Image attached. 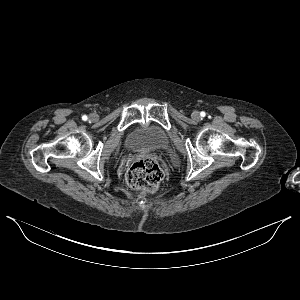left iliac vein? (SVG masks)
Returning <instances> with one entry per match:
<instances>
[{
	"label": "left iliac vein",
	"instance_id": "obj_1",
	"mask_svg": "<svg viewBox=\"0 0 300 300\" xmlns=\"http://www.w3.org/2000/svg\"><path fill=\"white\" fill-rule=\"evenodd\" d=\"M191 118L194 120V121H198L200 119V114L198 111H194L192 114H191Z\"/></svg>",
	"mask_w": 300,
	"mask_h": 300
}]
</instances>
